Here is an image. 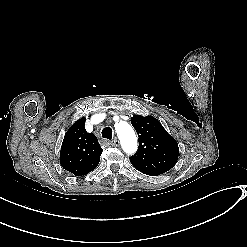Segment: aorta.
<instances>
[{
    "mask_svg": "<svg viewBox=\"0 0 247 247\" xmlns=\"http://www.w3.org/2000/svg\"><path fill=\"white\" fill-rule=\"evenodd\" d=\"M115 131L124 152L128 154L135 153L138 147V142L133 128L127 122L120 121L115 124Z\"/></svg>",
    "mask_w": 247,
    "mask_h": 247,
    "instance_id": "1",
    "label": "aorta"
}]
</instances>
